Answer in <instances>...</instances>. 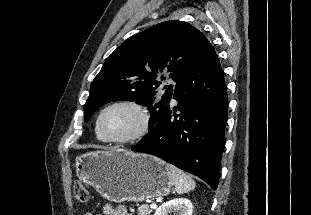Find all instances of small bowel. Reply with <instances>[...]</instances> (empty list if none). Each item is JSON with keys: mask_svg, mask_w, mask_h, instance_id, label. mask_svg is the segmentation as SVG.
I'll return each instance as SVG.
<instances>
[{"mask_svg": "<svg viewBox=\"0 0 311 215\" xmlns=\"http://www.w3.org/2000/svg\"><path fill=\"white\" fill-rule=\"evenodd\" d=\"M84 215H132L124 206L114 207L111 204H106L102 208V212L99 214H93L87 212Z\"/></svg>", "mask_w": 311, "mask_h": 215, "instance_id": "small-bowel-1", "label": "small bowel"}]
</instances>
